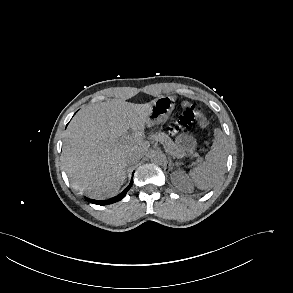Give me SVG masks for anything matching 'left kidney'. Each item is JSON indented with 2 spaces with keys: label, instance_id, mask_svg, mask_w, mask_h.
<instances>
[{
  "label": "left kidney",
  "instance_id": "1",
  "mask_svg": "<svg viewBox=\"0 0 293 293\" xmlns=\"http://www.w3.org/2000/svg\"><path fill=\"white\" fill-rule=\"evenodd\" d=\"M172 183L180 190H191L192 185L182 170L176 171L171 175Z\"/></svg>",
  "mask_w": 293,
  "mask_h": 293
}]
</instances>
